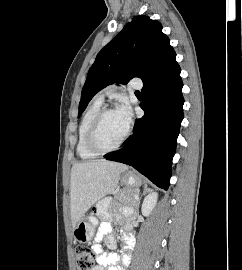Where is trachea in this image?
Returning a JSON list of instances; mask_svg holds the SVG:
<instances>
[{"instance_id":"3493384b","label":"trachea","mask_w":242,"mask_h":270,"mask_svg":"<svg viewBox=\"0 0 242 270\" xmlns=\"http://www.w3.org/2000/svg\"><path fill=\"white\" fill-rule=\"evenodd\" d=\"M135 93H140L139 91H136Z\"/></svg>"}]
</instances>
